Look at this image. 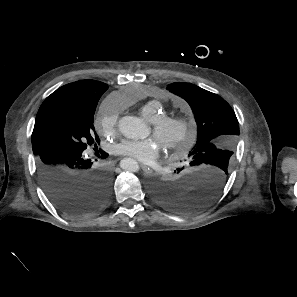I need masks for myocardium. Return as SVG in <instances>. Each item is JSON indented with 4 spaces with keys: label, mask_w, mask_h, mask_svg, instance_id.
Segmentation results:
<instances>
[{
    "label": "myocardium",
    "mask_w": 297,
    "mask_h": 297,
    "mask_svg": "<svg viewBox=\"0 0 297 297\" xmlns=\"http://www.w3.org/2000/svg\"><path fill=\"white\" fill-rule=\"evenodd\" d=\"M154 136L171 151L184 150L192 140L193 132L189 121L180 116L159 117L151 123Z\"/></svg>",
    "instance_id": "myocardium-1"
}]
</instances>
